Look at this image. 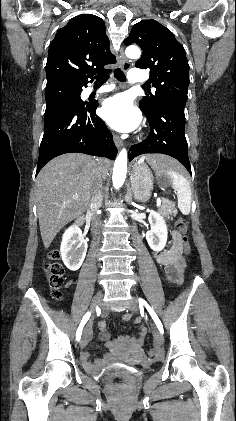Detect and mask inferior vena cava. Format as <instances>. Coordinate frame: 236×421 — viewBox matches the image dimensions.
<instances>
[{
  "label": "inferior vena cava",
  "instance_id": "inferior-vena-cava-1",
  "mask_svg": "<svg viewBox=\"0 0 236 421\" xmlns=\"http://www.w3.org/2000/svg\"><path fill=\"white\" fill-rule=\"evenodd\" d=\"M94 176L96 178L95 188L92 192L91 200H90V211H92V223L94 227H97L99 223V217L97 215V211L102 204L103 194H102V180L105 176H102V172H100V168H94L93 170Z\"/></svg>",
  "mask_w": 236,
  "mask_h": 421
}]
</instances>
